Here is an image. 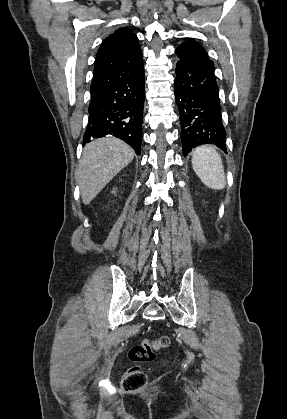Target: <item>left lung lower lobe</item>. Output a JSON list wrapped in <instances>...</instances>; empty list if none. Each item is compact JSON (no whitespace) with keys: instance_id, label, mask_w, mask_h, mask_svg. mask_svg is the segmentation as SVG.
Returning a JSON list of instances; mask_svg holds the SVG:
<instances>
[{"instance_id":"1","label":"left lung lower lobe","mask_w":287,"mask_h":419,"mask_svg":"<svg viewBox=\"0 0 287 419\" xmlns=\"http://www.w3.org/2000/svg\"><path fill=\"white\" fill-rule=\"evenodd\" d=\"M214 64L178 61L174 82L175 100L181 121L184 155L202 144H214L226 152L219 89Z\"/></svg>"}]
</instances>
